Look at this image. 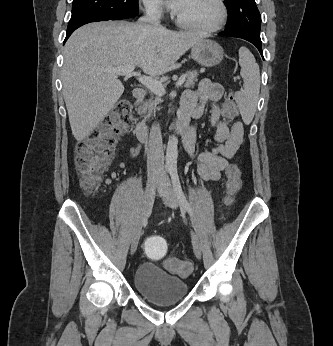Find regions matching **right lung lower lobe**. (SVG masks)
Returning a JSON list of instances; mask_svg holds the SVG:
<instances>
[{
  "label": "right lung lower lobe",
  "instance_id": "1",
  "mask_svg": "<svg viewBox=\"0 0 333 346\" xmlns=\"http://www.w3.org/2000/svg\"><path fill=\"white\" fill-rule=\"evenodd\" d=\"M108 20H121V19H111V18H88L86 20H83L81 22H79L78 24H76L75 26L68 28L67 29V34H66V38L64 40V43L66 42V40L70 37V35L79 27H81L84 24L87 23H91V22H97V21H108Z\"/></svg>",
  "mask_w": 333,
  "mask_h": 346
}]
</instances>
